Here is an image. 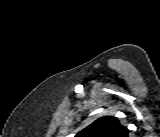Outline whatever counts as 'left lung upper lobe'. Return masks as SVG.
I'll return each mask as SVG.
<instances>
[{
  "label": "left lung upper lobe",
  "instance_id": "5c2ea615",
  "mask_svg": "<svg viewBox=\"0 0 160 137\" xmlns=\"http://www.w3.org/2000/svg\"><path fill=\"white\" fill-rule=\"evenodd\" d=\"M75 137H128V129L113 116H104L81 130Z\"/></svg>",
  "mask_w": 160,
  "mask_h": 137
}]
</instances>
